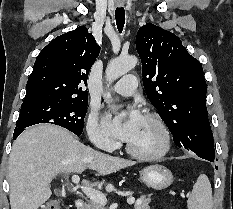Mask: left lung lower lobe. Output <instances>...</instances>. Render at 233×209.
I'll return each mask as SVG.
<instances>
[{
	"mask_svg": "<svg viewBox=\"0 0 233 209\" xmlns=\"http://www.w3.org/2000/svg\"><path fill=\"white\" fill-rule=\"evenodd\" d=\"M204 159H206V160H209V161H211V162H213L214 161V159L213 158H204Z\"/></svg>",
	"mask_w": 233,
	"mask_h": 209,
	"instance_id": "left-lung-lower-lobe-1",
	"label": "left lung lower lobe"
}]
</instances>
